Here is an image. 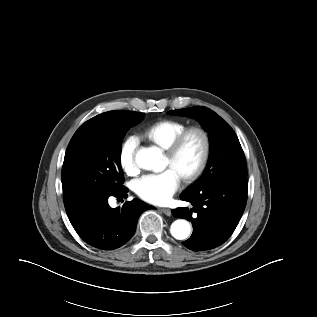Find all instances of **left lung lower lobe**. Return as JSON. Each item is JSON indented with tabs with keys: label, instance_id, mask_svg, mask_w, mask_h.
<instances>
[{
	"label": "left lung lower lobe",
	"instance_id": "0a47b994",
	"mask_svg": "<svg viewBox=\"0 0 317 317\" xmlns=\"http://www.w3.org/2000/svg\"><path fill=\"white\" fill-rule=\"evenodd\" d=\"M247 179L220 181L197 191H184L181 200L192 209L172 210L176 218L192 222L193 233L183 244L192 251H203L223 244L233 233L247 202Z\"/></svg>",
	"mask_w": 317,
	"mask_h": 317
}]
</instances>
